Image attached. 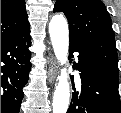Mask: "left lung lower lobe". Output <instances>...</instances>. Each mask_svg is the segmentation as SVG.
Wrapping results in <instances>:
<instances>
[{"label": "left lung lower lobe", "mask_w": 121, "mask_h": 113, "mask_svg": "<svg viewBox=\"0 0 121 113\" xmlns=\"http://www.w3.org/2000/svg\"><path fill=\"white\" fill-rule=\"evenodd\" d=\"M69 49L70 58L73 52L79 53L74 65L80 72L82 85L79 92L72 94L67 113H121L119 75L91 57L78 43L70 40Z\"/></svg>", "instance_id": "left-lung-lower-lobe-1"}]
</instances>
